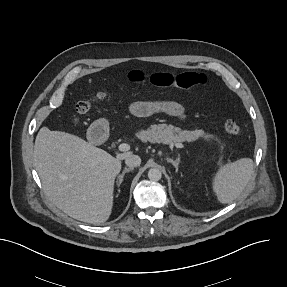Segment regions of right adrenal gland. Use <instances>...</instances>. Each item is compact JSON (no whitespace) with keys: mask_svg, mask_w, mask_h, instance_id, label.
<instances>
[{"mask_svg":"<svg viewBox=\"0 0 287 287\" xmlns=\"http://www.w3.org/2000/svg\"><path fill=\"white\" fill-rule=\"evenodd\" d=\"M132 170H134V168H126V167H125V169L123 170L122 174L118 176V178H119V180H118V184H117L118 186H120V185H121V183H122V181H123V178H124L125 173L130 172V171H132Z\"/></svg>","mask_w":287,"mask_h":287,"instance_id":"right-adrenal-gland-1","label":"right adrenal gland"}]
</instances>
